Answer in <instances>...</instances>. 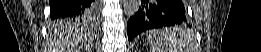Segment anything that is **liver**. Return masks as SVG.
I'll use <instances>...</instances> for the list:
<instances>
[{"label": "liver", "instance_id": "liver-1", "mask_svg": "<svg viewBox=\"0 0 261 52\" xmlns=\"http://www.w3.org/2000/svg\"><path fill=\"white\" fill-rule=\"evenodd\" d=\"M51 31V36H54L53 42L57 43V45L62 48H68L69 46L71 49L68 50H75L73 48L78 47L79 43L83 41L82 36H85L83 33H81V37L77 39H70L71 34H73L74 27L73 25L68 26H61V25H53ZM81 48V46L79 47ZM78 50V49H76ZM73 52V51H68ZM74 52H80V51H74Z\"/></svg>", "mask_w": 261, "mask_h": 52}]
</instances>
